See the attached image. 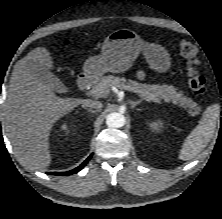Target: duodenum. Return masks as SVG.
<instances>
[{
    "label": "duodenum",
    "instance_id": "1",
    "mask_svg": "<svg viewBox=\"0 0 222 219\" xmlns=\"http://www.w3.org/2000/svg\"><path fill=\"white\" fill-rule=\"evenodd\" d=\"M92 83V78L90 75H82L78 80V87L81 90H87Z\"/></svg>",
    "mask_w": 222,
    "mask_h": 219
}]
</instances>
